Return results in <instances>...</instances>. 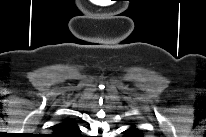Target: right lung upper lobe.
Returning a JSON list of instances; mask_svg holds the SVG:
<instances>
[{
  "mask_svg": "<svg viewBox=\"0 0 206 137\" xmlns=\"http://www.w3.org/2000/svg\"><path fill=\"white\" fill-rule=\"evenodd\" d=\"M80 130L72 119H65L63 122L53 126V135L59 137H72L79 135Z\"/></svg>",
  "mask_w": 206,
  "mask_h": 137,
  "instance_id": "cb5924a9",
  "label": "right lung upper lobe"
}]
</instances>
